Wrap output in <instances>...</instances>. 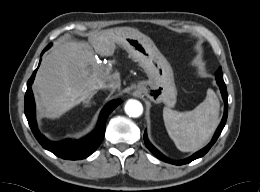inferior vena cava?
Listing matches in <instances>:
<instances>
[{
    "label": "inferior vena cava",
    "instance_id": "602c4592",
    "mask_svg": "<svg viewBox=\"0 0 260 192\" xmlns=\"http://www.w3.org/2000/svg\"><path fill=\"white\" fill-rule=\"evenodd\" d=\"M121 82L120 79H112L108 82L102 83L100 85V89H110L115 91L116 89L120 88Z\"/></svg>",
    "mask_w": 260,
    "mask_h": 192
}]
</instances>
